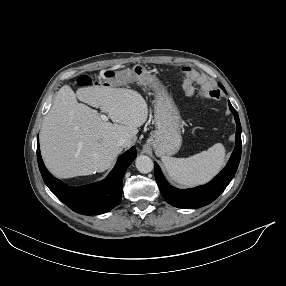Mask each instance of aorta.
<instances>
[{"label":"aorta","instance_id":"aorta-1","mask_svg":"<svg viewBox=\"0 0 286 286\" xmlns=\"http://www.w3.org/2000/svg\"><path fill=\"white\" fill-rule=\"evenodd\" d=\"M135 165L140 173H149L153 170L154 164L152 159L146 155H140L136 158Z\"/></svg>","mask_w":286,"mask_h":286}]
</instances>
